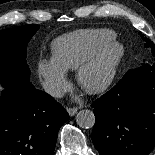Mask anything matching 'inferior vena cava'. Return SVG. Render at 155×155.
I'll list each match as a JSON object with an SVG mask.
<instances>
[{
  "label": "inferior vena cava",
  "mask_w": 155,
  "mask_h": 155,
  "mask_svg": "<svg viewBox=\"0 0 155 155\" xmlns=\"http://www.w3.org/2000/svg\"><path fill=\"white\" fill-rule=\"evenodd\" d=\"M43 89L48 94H50L54 97H57V98L63 97L65 94L64 87L60 83L55 82V81L43 82Z\"/></svg>",
  "instance_id": "1"
}]
</instances>
